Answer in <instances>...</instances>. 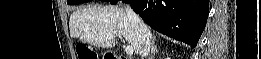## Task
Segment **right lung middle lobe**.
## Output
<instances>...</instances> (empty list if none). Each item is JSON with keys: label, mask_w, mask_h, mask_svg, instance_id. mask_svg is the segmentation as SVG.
<instances>
[{"label": "right lung middle lobe", "mask_w": 261, "mask_h": 59, "mask_svg": "<svg viewBox=\"0 0 261 59\" xmlns=\"http://www.w3.org/2000/svg\"><path fill=\"white\" fill-rule=\"evenodd\" d=\"M91 0H70L69 2H67V4L73 5V4H80V3H85V2H89ZM107 1V0H105Z\"/></svg>", "instance_id": "1"}]
</instances>
